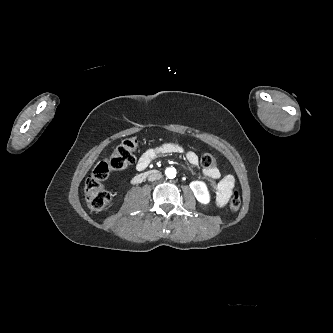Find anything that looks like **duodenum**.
Wrapping results in <instances>:
<instances>
[{"instance_id": "duodenum-1", "label": "duodenum", "mask_w": 333, "mask_h": 333, "mask_svg": "<svg viewBox=\"0 0 333 333\" xmlns=\"http://www.w3.org/2000/svg\"><path fill=\"white\" fill-rule=\"evenodd\" d=\"M156 176L158 175V171H148V172H142L137 174L136 176L133 177L132 182L137 184V183H141L142 181H144L147 177L149 176Z\"/></svg>"}]
</instances>
